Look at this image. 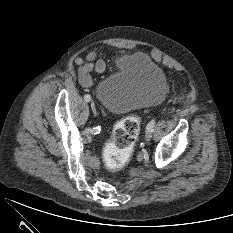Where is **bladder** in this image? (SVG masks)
Segmentation results:
<instances>
[{
	"label": "bladder",
	"mask_w": 233,
	"mask_h": 233,
	"mask_svg": "<svg viewBox=\"0 0 233 233\" xmlns=\"http://www.w3.org/2000/svg\"><path fill=\"white\" fill-rule=\"evenodd\" d=\"M167 92L164 71L142 52L122 57L118 69L103 79L96 91L102 106L115 115L155 106Z\"/></svg>",
	"instance_id": "1"
}]
</instances>
